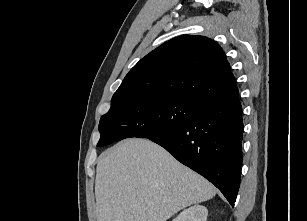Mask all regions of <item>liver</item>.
<instances>
[{
  "mask_svg": "<svg viewBox=\"0 0 307 221\" xmlns=\"http://www.w3.org/2000/svg\"><path fill=\"white\" fill-rule=\"evenodd\" d=\"M215 194L210 182L150 140H124L98 159L97 221H167Z\"/></svg>",
  "mask_w": 307,
  "mask_h": 221,
  "instance_id": "6515ba94",
  "label": "liver"
}]
</instances>
